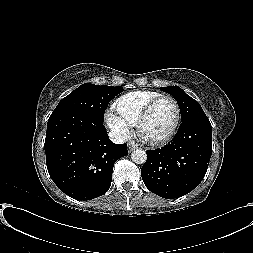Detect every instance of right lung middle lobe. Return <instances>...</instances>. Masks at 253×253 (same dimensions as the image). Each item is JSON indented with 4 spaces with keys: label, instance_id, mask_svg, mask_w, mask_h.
<instances>
[{
    "label": "right lung middle lobe",
    "instance_id": "obj_1",
    "mask_svg": "<svg viewBox=\"0 0 253 253\" xmlns=\"http://www.w3.org/2000/svg\"><path fill=\"white\" fill-rule=\"evenodd\" d=\"M123 91V87L83 84L64 97L52 114L65 111H80L103 120L108 103Z\"/></svg>",
    "mask_w": 253,
    "mask_h": 253
}]
</instances>
